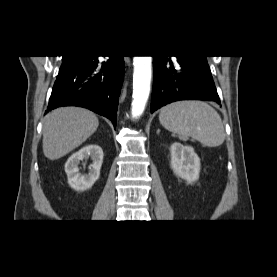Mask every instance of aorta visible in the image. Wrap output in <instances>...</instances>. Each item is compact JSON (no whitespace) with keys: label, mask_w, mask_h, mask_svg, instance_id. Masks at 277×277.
Listing matches in <instances>:
<instances>
[{"label":"aorta","mask_w":277,"mask_h":277,"mask_svg":"<svg viewBox=\"0 0 277 277\" xmlns=\"http://www.w3.org/2000/svg\"><path fill=\"white\" fill-rule=\"evenodd\" d=\"M151 56H134L133 95L131 113L133 117L140 116L146 106L151 85Z\"/></svg>","instance_id":"762f6f07"}]
</instances>
